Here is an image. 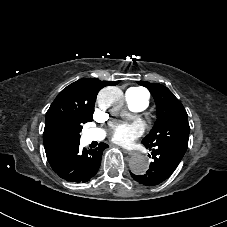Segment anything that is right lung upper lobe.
<instances>
[{
	"label": "right lung upper lobe",
	"mask_w": 227,
	"mask_h": 227,
	"mask_svg": "<svg viewBox=\"0 0 227 227\" xmlns=\"http://www.w3.org/2000/svg\"><path fill=\"white\" fill-rule=\"evenodd\" d=\"M118 83L119 81H100L96 78L80 79L67 86L58 94L47 111L46 117H48L57 105L65 101H76L77 103H83L86 105H95L96 96L100 89L105 86L116 85ZM43 142L47 159L52 158L58 151L63 149L48 139L46 134H43Z\"/></svg>",
	"instance_id": "right-lung-upper-lobe-1"
}]
</instances>
